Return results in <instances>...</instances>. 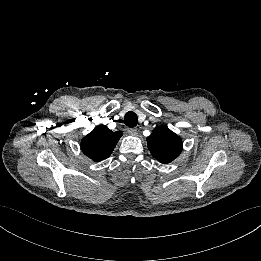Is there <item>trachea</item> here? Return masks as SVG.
<instances>
[{
  "mask_svg": "<svg viewBox=\"0 0 261 261\" xmlns=\"http://www.w3.org/2000/svg\"><path fill=\"white\" fill-rule=\"evenodd\" d=\"M124 123L126 126L130 128L135 127L138 123V118L136 113H134L133 111L127 112L126 115L124 116Z\"/></svg>",
  "mask_w": 261,
  "mask_h": 261,
  "instance_id": "1",
  "label": "trachea"
}]
</instances>
